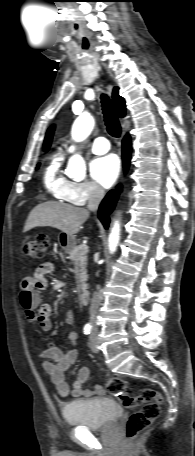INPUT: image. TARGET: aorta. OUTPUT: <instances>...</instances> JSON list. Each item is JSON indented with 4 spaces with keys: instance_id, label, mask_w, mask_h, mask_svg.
Instances as JSON below:
<instances>
[{
    "instance_id": "aorta-1",
    "label": "aorta",
    "mask_w": 195,
    "mask_h": 456,
    "mask_svg": "<svg viewBox=\"0 0 195 456\" xmlns=\"http://www.w3.org/2000/svg\"><path fill=\"white\" fill-rule=\"evenodd\" d=\"M95 125L94 118L90 115H80L72 126V138L76 142L84 141L92 132ZM67 174L72 178H83L86 174V164L82 156L79 154L73 155L67 165ZM120 239V224L114 222L108 238V246L110 253H114Z\"/></svg>"
}]
</instances>
